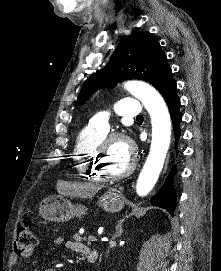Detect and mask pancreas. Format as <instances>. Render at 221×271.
Here are the masks:
<instances>
[{
	"mask_svg": "<svg viewBox=\"0 0 221 271\" xmlns=\"http://www.w3.org/2000/svg\"><path fill=\"white\" fill-rule=\"evenodd\" d=\"M73 242H85V237H73Z\"/></svg>",
	"mask_w": 221,
	"mask_h": 271,
	"instance_id": "pancreas-1",
	"label": "pancreas"
}]
</instances>
